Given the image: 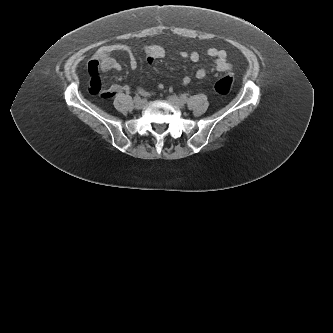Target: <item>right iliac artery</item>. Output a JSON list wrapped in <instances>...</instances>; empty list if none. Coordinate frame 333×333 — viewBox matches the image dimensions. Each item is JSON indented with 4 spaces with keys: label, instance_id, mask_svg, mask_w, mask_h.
<instances>
[{
    "label": "right iliac artery",
    "instance_id": "1",
    "mask_svg": "<svg viewBox=\"0 0 333 333\" xmlns=\"http://www.w3.org/2000/svg\"><path fill=\"white\" fill-rule=\"evenodd\" d=\"M140 99H141V97L139 95L135 96V101H138Z\"/></svg>",
    "mask_w": 333,
    "mask_h": 333
}]
</instances>
